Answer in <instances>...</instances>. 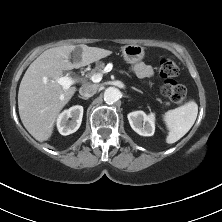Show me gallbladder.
<instances>
[{"instance_id":"obj_1","label":"gallbladder","mask_w":222,"mask_h":222,"mask_svg":"<svg viewBox=\"0 0 222 222\" xmlns=\"http://www.w3.org/2000/svg\"><path fill=\"white\" fill-rule=\"evenodd\" d=\"M80 51H81V49H80L79 47H77L74 52L77 54V53H79Z\"/></svg>"}]
</instances>
